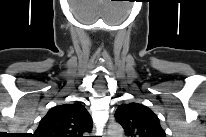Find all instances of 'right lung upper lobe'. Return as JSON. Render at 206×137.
Instances as JSON below:
<instances>
[{
  "instance_id": "obj_1",
  "label": "right lung upper lobe",
  "mask_w": 206,
  "mask_h": 137,
  "mask_svg": "<svg viewBox=\"0 0 206 137\" xmlns=\"http://www.w3.org/2000/svg\"><path fill=\"white\" fill-rule=\"evenodd\" d=\"M92 130V118L80 103L64 104L50 109L41 119L38 137H80Z\"/></svg>"
}]
</instances>
